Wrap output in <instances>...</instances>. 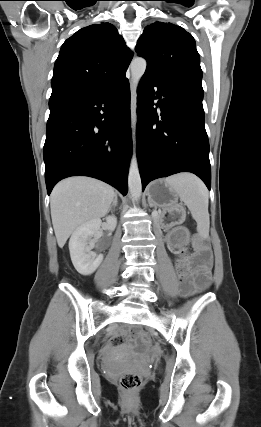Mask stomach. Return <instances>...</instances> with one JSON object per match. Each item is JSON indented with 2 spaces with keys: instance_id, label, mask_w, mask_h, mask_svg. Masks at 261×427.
I'll list each match as a JSON object with an SVG mask.
<instances>
[{
  "instance_id": "stomach-1",
  "label": "stomach",
  "mask_w": 261,
  "mask_h": 427,
  "mask_svg": "<svg viewBox=\"0 0 261 427\" xmlns=\"http://www.w3.org/2000/svg\"><path fill=\"white\" fill-rule=\"evenodd\" d=\"M148 200L152 205L166 210H182L180 204H178V193L165 180H157L150 184L148 188Z\"/></svg>"
}]
</instances>
